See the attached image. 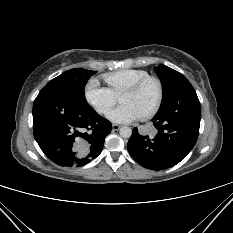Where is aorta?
I'll list each match as a JSON object with an SVG mask.
<instances>
[{
  "instance_id": "1",
  "label": "aorta",
  "mask_w": 233,
  "mask_h": 233,
  "mask_svg": "<svg viewBox=\"0 0 233 233\" xmlns=\"http://www.w3.org/2000/svg\"><path fill=\"white\" fill-rule=\"evenodd\" d=\"M119 133L123 138H130L132 135V129L130 127H122Z\"/></svg>"
}]
</instances>
